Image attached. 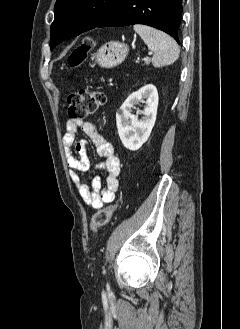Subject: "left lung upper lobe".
I'll list each match as a JSON object with an SVG mask.
<instances>
[{
	"instance_id": "obj_1",
	"label": "left lung upper lobe",
	"mask_w": 240,
	"mask_h": 329,
	"mask_svg": "<svg viewBox=\"0 0 240 329\" xmlns=\"http://www.w3.org/2000/svg\"><path fill=\"white\" fill-rule=\"evenodd\" d=\"M120 0H57L50 27L51 50L60 42L95 28Z\"/></svg>"
}]
</instances>
